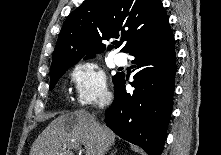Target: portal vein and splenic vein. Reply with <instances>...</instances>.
Segmentation results:
<instances>
[{
  "instance_id": "obj_1",
  "label": "portal vein and splenic vein",
  "mask_w": 221,
  "mask_h": 155,
  "mask_svg": "<svg viewBox=\"0 0 221 155\" xmlns=\"http://www.w3.org/2000/svg\"><path fill=\"white\" fill-rule=\"evenodd\" d=\"M71 148H73V149H80V147L79 146H77V145H72V147Z\"/></svg>"
}]
</instances>
